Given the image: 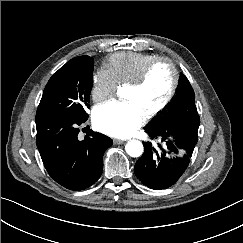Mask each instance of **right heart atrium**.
Masks as SVG:
<instances>
[{"instance_id":"right-heart-atrium-1","label":"right heart atrium","mask_w":243,"mask_h":243,"mask_svg":"<svg viewBox=\"0 0 243 243\" xmlns=\"http://www.w3.org/2000/svg\"><path fill=\"white\" fill-rule=\"evenodd\" d=\"M118 89L113 76L107 69L100 68L93 73L91 97L93 101L100 103L112 98Z\"/></svg>"}]
</instances>
